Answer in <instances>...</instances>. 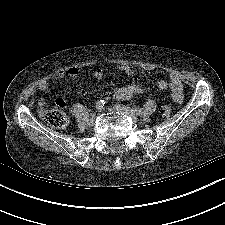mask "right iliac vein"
<instances>
[{"instance_id": "1", "label": "right iliac vein", "mask_w": 225, "mask_h": 225, "mask_svg": "<svg viewBox=\"0 0 225 225\" xmlns=\"http://www.w3.org/2000/svg\"><path fill=\"white\" fill-rule=\"evenodd\" d=\"M95 123H96V116H95V114H93V115L91 116V118L89 119L88 124H89L90 126H94Z\"/></svg>"}]
</instances>
